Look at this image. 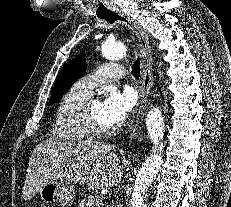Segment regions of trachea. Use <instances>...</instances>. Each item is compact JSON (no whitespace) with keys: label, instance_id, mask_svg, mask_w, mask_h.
Masks as SVG:
<instances>
[{"label":"trachea","instance_id":"trachea-1","mask_svg":"<svg viewBox=\"0 0 231 207\" xmlns=\"http://www.w3.org/2000/svg\"><path fill=\"white\" fill-rule=\"evenodd\" d=\"M100 19H105L108 23H113L114 21L121 20L125 21V19L118 14L111 12L105 15L99 16ZM140 70H141V63L140 59L137 58L135 62L132 65V74L136 79H139L140 76Z\"/></svg>","mask_w":231,"mask_h":207}]
</instances>
